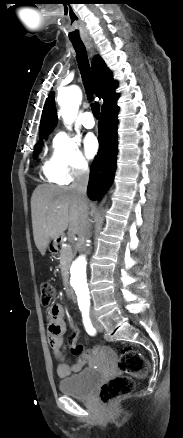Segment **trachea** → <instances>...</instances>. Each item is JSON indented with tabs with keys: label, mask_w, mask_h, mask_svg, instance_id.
Segmentation results:
<instances>
[{
	"label": "trachea",
	"mask_w": 183,
	"mask_h": 438,
	"mask_svg": "<svg viewBox=\"0 0 183 438\" xmlns=\"http://www.w3.org/2000/svg\"><path fill=\"white\" fill-rule=\"evenodd\" d=\"M72 45L76 52V59L81 73L83 85L85 87L88 99L92 102L91 103L92 113L95 116V118L98 119L100 113V105L97 102H93L94 101L92 96L93 81H92L91 69H90V64L88 61L85 45L82 42L81 43L72 42Z\"/></svg>",
	"instance_id": "1"
}]
</instances>
